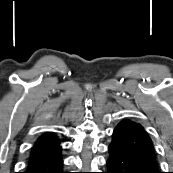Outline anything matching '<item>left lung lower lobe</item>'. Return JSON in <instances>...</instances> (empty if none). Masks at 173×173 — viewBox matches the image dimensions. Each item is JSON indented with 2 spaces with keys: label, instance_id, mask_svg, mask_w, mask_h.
I'll list each match as a JSON object with an SVG mask.
<instances>
[{
  "label": "left lung lower lobe",
  "instance_id": "left-lung-lower-lobe-1",
  "mask_svg": "<svg viewBox=\"0 0 173 173\" xmlns=\"http://www.w3.org/2000/svg\"><path fill=\"white\" fill-rule=\"evenodd\" d=\"M105 173H161L155 155L112 141Z\"/></svg>",
  "mask_w": 173,
  "mask_h": 173
}]
</instances>
